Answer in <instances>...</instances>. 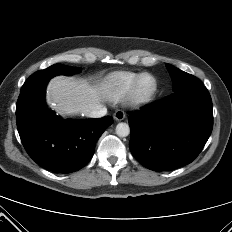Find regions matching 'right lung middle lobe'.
I'll return each mask as SVG.
<instances>
[{
	"label": "right lung middle lobe",
	"instance_id": "right-lung-middle-lobe-1",
	"mask_svg": "<svg viewBox=\"0 0 232 232\" xmlns=\"http://www.w3.org/2000/svg\"><path fill=\"white\" fill-rule=\"evenodd\" d=\"M81 71V68L76 67H68L62 65L60 63L54 64L47 69L37 71L33 73L28 80L24 83L22 89H26L32 85L37 83L48 81L55 75L64 74V75H71L73 73H78Z\"/></svg>",
	"mask_w": 232,
	"mask_h": 232
}]
</instances>
